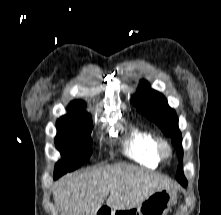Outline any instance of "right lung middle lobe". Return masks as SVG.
Segmentation results:
<instances>
[{"label": "right lung middle lobe", "mask_w": 221, "mask_h": 215, "mask_svg": "<svg viewBox=\"0 0 221 215\" xmlns=\"http://www.w3.org/2000/svg\"><path fill=\"white\" fill-rule=\"evenodd\" d=\"M85 106L68 107L69 114L57 121L55 144L62 159L56 164L55 178L80 167L89 160L92 154L90 147L92 120L85 112Z\"/></svg>", "instance_id": "dd1d6c3e"}]
</instances>
